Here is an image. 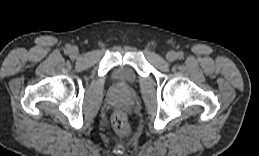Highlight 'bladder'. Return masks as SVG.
Segmentation results:
<instances>
[{
  "label": "bladder",
  "instance_id": "1",
  "mask_svg": "<svg viewBox=\"0 0 259 156\" xmlns=\"http://www.w3.org/2000/svg\"><path fill=\"white\" fill-rule=\"evenodd\" d=\"M113 79L124 85L134 86L137 84V75L129 67L122 66L115 69Z\"/></svg>",
  "mask_w": 259,
  "mask_h": 156
}]
</instances>
